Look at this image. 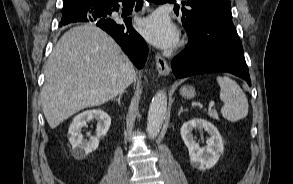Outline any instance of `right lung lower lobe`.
<instances>
[{
    "mask_svg": "<svg viewBox=\"0 0 293 184\" xmlns=\"http://www.w3.org/2000/svg\"><path fill=\"white\" fill-rule=\"evenodd\" d=\"M129 0H109L97 6L88 7L76 14L62 18L60 25L71 22H93L110 34L121 46L124 52L138 68H142L148 55V47L144 39L131 26V19L123 22L111 17L112 12L119 10V2L125 5ZM136 10L142 5V0H137Z\"/></svg>",
    "mask_w": 293,
    "mask_h": 184,
    "instance_id": "98d812e1",
    "label": "right lung lower lobe"
}]
</instances>
